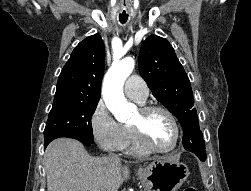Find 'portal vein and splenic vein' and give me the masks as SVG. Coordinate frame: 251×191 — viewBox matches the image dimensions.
<instances>
[{
  "label": "portal vein and splenic vein",
  "mask_w": 251,
  "mask_h": 191,
  "mask_svg": "<svg viewBox=\"0 0 251 191\" xmlns=\"http://www.w3.org/2000/svg\"><path fill=\"white\" fill-rule=\"evenodd\" d=\"M96 191H102V189H96Z\"/></svg>",
  "instance_id": "18ae733b"
}]
</instances>
